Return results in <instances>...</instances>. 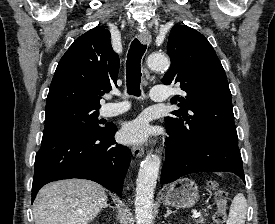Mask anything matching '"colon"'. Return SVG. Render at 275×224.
<instances>
[{
  "label": "colon",
  "instance_id": "1",
  "mask_svg": "<svg viewBox=\"0 0 275 224\" xmlns=\"http://www.w3.org/2000/svg\"><path fill=\"white\" fill-rule=\"evenodd\" d=\"M210 188L215 191V203L217 206L214 220L217 224H221L226 218L225 207L227 203V194L225 191L217 189L214 183L210 184Z\"/></svg>",
  "mask_w": 275,
  "mask_h": 224
}]
</instances>
